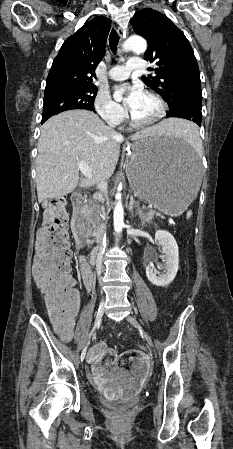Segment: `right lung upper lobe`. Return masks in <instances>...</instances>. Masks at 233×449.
Masks as SVG:
<instances>
[{
	"mask_svg": "<svg viewBox=\"0 0 233 449\" xmlns=\"http://www.w3.org/2000/svg\"><path fill=\"white\" fill-rule=\"evenodd\" d=\"M110 24L108 18L97 16L63 43L48 74L45 93L94 86L95 68L104 56Z\"/></svg>",
	"mask_w": 233,
	"mask_h": 449,
	"instance_id": "right-lung-upper-lobe-1",
	"label": "right lung upper lobe"
}]
</instances>
